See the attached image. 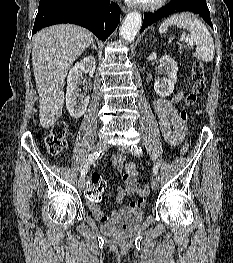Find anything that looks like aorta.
<instances>
[{
  "instance_id": "aorta-1",
  "label": "aorta",
  "mask_w": 233,
  "mask_h": 263,
  "mask_svg": "<svg viewBox=\"0 0 233 263\" xmlns=\"http://www.w3.org/2000/svg\"><path fill=\"white\" fill-rule=\"evenodd\" d=\"M142 25V16L136 11L127 14L121 28L120 36L127 42H132Z\"/></svg>"
}]
</instances>
